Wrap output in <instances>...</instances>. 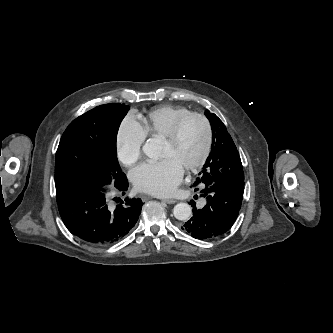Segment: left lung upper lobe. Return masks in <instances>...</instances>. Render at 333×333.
Wrapping results in <instances>:
<instances>
[{"label":"left lung upper lobe","instance_id":"left-lung-upper-lobe-1","mask_svg":"<svg viewBox=\"0 0 333 333\" xmlns=\"http://www.w3.org/2000/svg\"><path fill=\"white\" fill-rule=\"evenodd\" d=\"M212 127V147L199 179L217 183L244 181L242 163L236 146L223 122L213 113L205 111Z\"/></svg>","mask_w":333,"mask_h":333}]
</instances>
